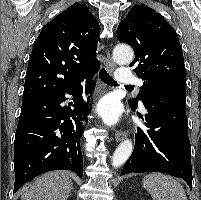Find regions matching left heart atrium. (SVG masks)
I'll use <instances>...</instances> for the list:
<instances>
[{
    "label": "left heart atrium",
    "mask_w": 201,
    "mask_h": 200,
    "mask_svg": "<svg viewBox=\"0 0 201 200\" xmlns=\"http://www.w3.org/2000/svg\"><path fill=\"white\" fill-rule=\"evenodd\" d=\"M99 112L104 120L109 124H114L118 120V110L116 105L108 100L101 103Z\"/></svg>",
    "instance_id": "1"
}]
</instances>
